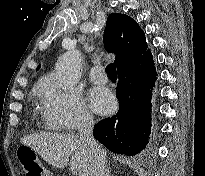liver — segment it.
<instances>
[{
  "label": "liver",
  "instance_id": "1",
  "mask_svg": "<svg viewBox=\"0 0 205 176\" xmlns=\"http://www.w3.org/2000/svg\"><path fill=\"white\" fill-rule=\"evenodd\" d=\"M21 143L37 152L54 167L64 168L71 157V168L91 176L93 156L77 135L68 133H37L21 138ZM104 154L106 156V151Z\"/></svg>",
  "mask_w": 205,
  "mask_h": 176
}]
</instances>
